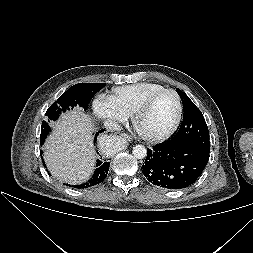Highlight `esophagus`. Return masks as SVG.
<instances>
[{
	"mask_svg": "<svg viewBox=\"0 0 253 253\" xmlns=\"http://www.w3.org/2000/svg\"><path fill=\"white\" fill-rule=\"evenodd\" d=\"M120 138H123V139H128V135L124 134V133H120L119 136Z\"/></svg>",
	"mask_w": 253,
	"mask_h": 253,
	"instance_id": "34e87169",
	"label": "esophagus"
}]
</instances>
